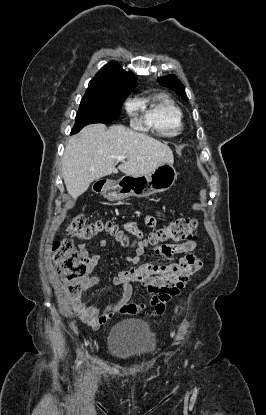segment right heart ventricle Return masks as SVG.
Wrapping results in <instances>:
<instances>
[{
	"label": "right heart ventricle",
	"mask_w": 266,
	"mask_h": 415,
	"mask_svg": "<svg viewBox=\"0 0 266 415\" xmlns=\"http://www.w3.org/2000/svg\"><path fill=\"white\" fill-rule=\"evenodd\" d=\"M144 109V123L165 136L177 135L182 129V112L167 96L145 98L138 102Z\"/></svg>",
	"instance_id": "obj_1"
}]
</instances>
